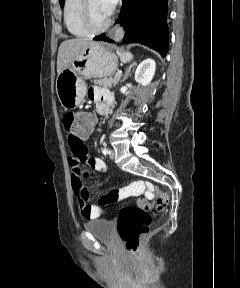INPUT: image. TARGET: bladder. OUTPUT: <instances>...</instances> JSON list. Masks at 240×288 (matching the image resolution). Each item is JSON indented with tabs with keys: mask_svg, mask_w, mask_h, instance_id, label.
I'll return each instance as SVG.
<instances>
[{
	"mask_svg": "<svg viewBox=\"0 0 240 288\" xmlns=\"http://www.w3.org/2000/svg\"><path fill=\"white\" fill-rule=\"evenodd\" d=\"M84 229L101 241L107 243L115 241V225L110 220L97 219L87 222L84 224Z\"/></svg>",
	"mask_w": 240,
	"mask_h": 288,
	"instance_id": "obj_1",
	"label": "bladder"
}]
</instances>
